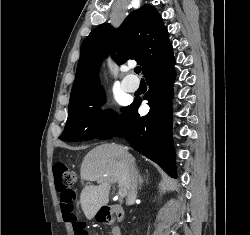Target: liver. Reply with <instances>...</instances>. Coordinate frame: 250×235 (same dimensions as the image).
<instances>
[{
  "instance_id": "6515ba94",
  "label": "liver",
  "mask_w": 250,
  "mask_h": 235,
  "mask_svg": "<svg viewBox=\"0 0 250 235\" xmlns=\"http://www.w3.org/2000/svg\"><path fill=\"white\" fill-rule=\"evenodd\" d=\"M128 149L116 144H103L87 153L81 164V181L99 182L98 186L84 185L80 195L82 210L88 220L109 202L110 189L117 182L128 193L130 163L124 159ZM134 164V159H133Z\"/></svg>"
}]
</instances>
